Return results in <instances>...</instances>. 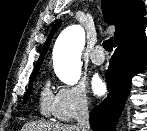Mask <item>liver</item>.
Segmentation results:
<instances>
[{
  "label": "liver",
  "instance_id": "liver-1",
  "mask_svg": "<svg viewBox=\"0 0 147 131\" xmlns=\"http://www.w3.org/2000/svg\"><path fill=\"white\" fill-rule=\"evenodd\" d=\"M21 131H80L77 126L49 122H29Z\"/></svg>",
  "mask_w": 147,
  "mask_h": 131
}]
</instances>
